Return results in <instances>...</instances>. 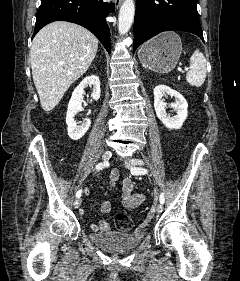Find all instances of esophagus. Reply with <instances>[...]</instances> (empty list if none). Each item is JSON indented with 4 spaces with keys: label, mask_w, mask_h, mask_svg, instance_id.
Instances as JSON below:
<instances>
[{
    "label": "esophagus",
    "mask_w": 240,
    "mask_h": 281,
    "mask_svg": "<svg viewBox=\"0 0 240 281\" xmlns=\"http://www.w3.org/2000/svg\"><path fill=\"white\" fill-rule=\"evenodd\" d=\"M122 1H123V0H114L115 7H116L117 9L121 6Z\"/></svg>",
    "instance_id": "1"
}]
</instances>
